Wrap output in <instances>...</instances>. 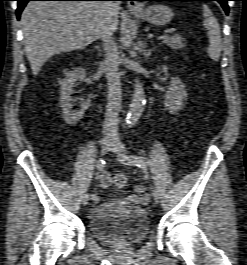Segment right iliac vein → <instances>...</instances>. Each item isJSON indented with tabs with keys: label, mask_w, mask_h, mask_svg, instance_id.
<instances>
[{
	"label": "right iliac vein",
	"mask_w": 247,
	"mask_h": 265,
	"mask_svg": "<svg viewBox=\"0 0 247 265\" xmlns=\"http://www.w3.org/2000/svg\"><path fill=\"white\" fill-rule=\"evenodd\" d=\"M113 145H114V140L112 138L110 137L103 138L101 141L102 153L106 154L107 152H109L112 149ZM88 201H89V196L84 195L82 203L86 205Z\"/></svg>",
	"instance_id": "1"
}]
</instances>
